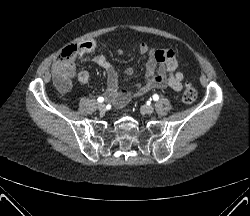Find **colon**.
<instances>
[{
	"label": "colon",
	"mask_w": 250,
	"mask_h": 216,
	"mask_svg": "<svg viewBox=\"0 0 250 216\" xmlns=\"http://www.w3.org/2000/svg\"><path fill=\"white\" fill-rule=\"evenodd\" d=\"M77 53V46L66 48L58 58L55 66V73L60 78H69L73 74L74 58ZM197 98V90L187 82L184 86L182 99L185 103H192Z\"/></svg>",
	"instance_id": "obj_1"
}]
</instances>
